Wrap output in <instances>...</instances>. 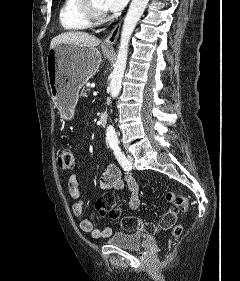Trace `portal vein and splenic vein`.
Wrapping results in <instances>:
<instances>
[{
    "label": "portal vein and splenic vein",
    "mask_w": 240,
    "mask_h": 281,
    "mask_svg": "<svg viewBox=\"0 0 240 281\" xmlns=\"http://www.w3.org/2000/svg\"><path fill=\"white\" fill-rule=\"evenodd\" d=\"M91 87L94 88V87H95V84H91Z\"/></svg>",
    "instance_id": "1"
}]
</instances>
